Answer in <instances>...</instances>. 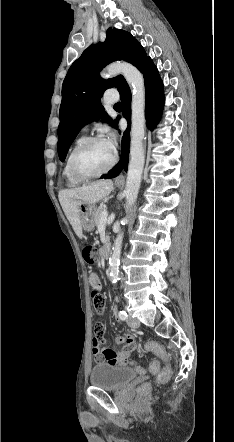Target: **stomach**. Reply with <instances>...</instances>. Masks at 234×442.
Here are the masks:
<instances>
[{
  "mask_svg": "<svg viewBox=\"0 0 234 442\" xmlns=\"http://www.w3.org/2000/svg\"><path fill=\"white\" fill-rule=\"evenodd\" d=\"M120 186V184H117ZM80 212V222L81 226L84 230L91 232L94 230L95 221L94 215L96 212V207L94 204H82L79 206Z\"/></svg>",
  "mask_w": 234,
  "mask_h": 442,
  "instance_id": "1",
  "label": "stomach"
}]
</instances>
